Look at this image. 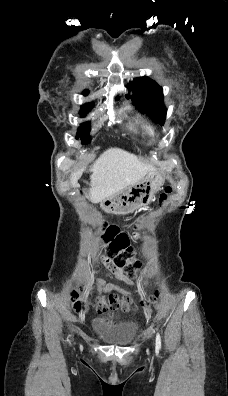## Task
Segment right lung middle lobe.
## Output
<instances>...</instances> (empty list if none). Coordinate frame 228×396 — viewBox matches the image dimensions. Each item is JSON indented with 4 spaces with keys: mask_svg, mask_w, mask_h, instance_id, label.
<instances>
[{
    "mask_svg": "<svg viewBox=\"0 0 228 396\" xmlns=\"http://www.w3.org/2000/svg\"><path fill=\"white\" fill-rule=\"evenodd\" d=\"M92 107H93L92 103H87L83 105L80 110V115L85 116L92 109ZM89 132H90L89 122L81 124V126L78 128L76 139L81 134V139L83 144H88L90 142Z\"/></svg>",
    "mask_w": 228,
    "mask_h": 396,
    "instance_id": "obj_1",
    "label": "right lung middle lobe"
}]
</instances>
